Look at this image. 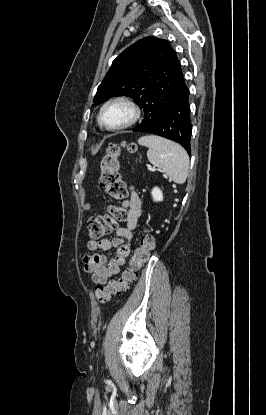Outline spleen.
Instances as JSON below:
<instances>
[{
	"label": "spleen",
	"instance_id": "spleen-1",
	"mask_svg": "<svg viewBox=\"0 0 266 415\" xmlns=\"http://www.w3.org/2000/svg\"><path fill=\"white\" fill-rule=\"evenodd\" d=\"M138 143L148 147V160L162 169L169 180L176 184L185 183L189 172V156L183 147L156 135L143 136Z\"/></svg>",
	"mask_w": 266,
	"mask_h": 415
}]
</instances>
